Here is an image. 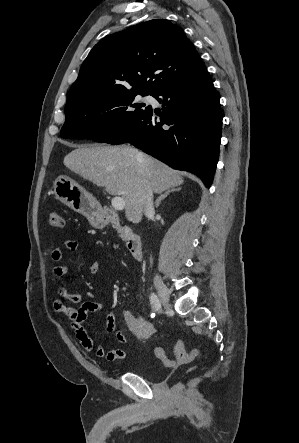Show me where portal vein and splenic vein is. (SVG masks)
I'll return each mask as SVG.
<instances>
[{
    "instance_id": "18ae733b",
    "label": "portal vein and splenic vein",
    "mask_w": 299,
    "mask_h": 443,
    "mask_svg": "<svg viewBox=\"0 0 299 443\" xmlns=\"http://www.w3.org/2000/svg\"><path fill=\"white\" fill-rule=\"evenodd\" d=\"M112 207L116 211H122L125 208V201L122 197L116 196L112 199Z\"/></svg>"
}]
</instances>
